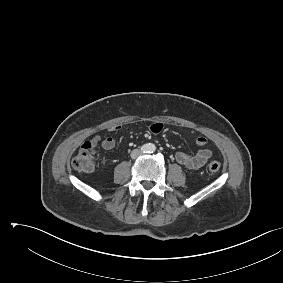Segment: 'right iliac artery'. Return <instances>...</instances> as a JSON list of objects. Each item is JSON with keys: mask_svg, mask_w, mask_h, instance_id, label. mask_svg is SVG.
I'll return each instance as SVG.
<instances>
[{"mask_svg": "<svg viewBox=\"0 0 283 283\" xmlns=\"http://www.w3.org/2000/svg\"><path fill=\"white\" fill-rule=\"evenodd\" d=\"M141 150H142L144 153H147L148 150H149V146H148V145H143V146L141 147Z\"/></svg>", "mask_w": 283, "mask_h": 283, "instance_id": "82829eb1", "label": "right iliac artery"}]
</instances>
